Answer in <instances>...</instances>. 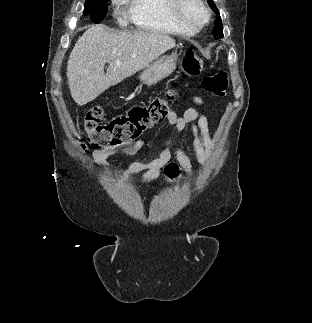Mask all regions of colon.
<instances>
[{
	"label": "colon",
	"instance_id": "1",
	"mask_svg": "<svg viewBox=\"0 0 312 323\" xmlns=\"http://www.w3.org/2000/svg\"><path fill=\"white\" fill-rule=\"evenodd\" d=\"M204 62L197 57L193 49L184 53L183 72L186 77L197 76L203 69ZM203 89L215 96L227 95L228 80L224 71H216L204 77ZM173 95L172 89L168 93ZM169 105L164 97H156L147 105L132 108L127 114L117 116L110 122H103L105 110L101 106H93L84 118V134L93 148L116 146L123 142L141 137L147 130L157 125L168 115ZM164 165L163 170L169 180L177 176L181 166L175 161Z\"/></svg>",
	"mask_w": 312,
	"mask_h": 323
}]
</instances>
